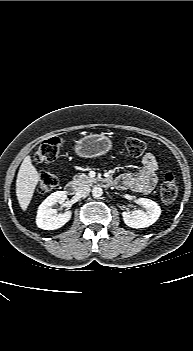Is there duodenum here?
I'll return each instance as SVG.
<instances>
[{
  "label": "duodenum",
  "instance_id": "obj_1",
  "mask_svg": "<svg viewBox=\"0 0 193 351\" xmlns=\"http://www.w3.org/2000/svg\"><path fill=\"white\" fill-rule=\"evenodd\" d=\"M101 184L102 185H110L111 181L109 179H102L101 181ZM76 184L74 182H69L67 185H66V192L68 195H74L76 193Z\"/></svg>",
  "mask_w": 193,
  "mask_h": 351
}]
</instances>
